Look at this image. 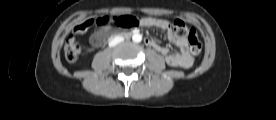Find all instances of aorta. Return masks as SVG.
<instances>
[{
    "instance_id": "1",
    "label": "aorta",
    "mask_w": 276,
    "mask_h": 120,
    "mask_svg": "<svg viewBox=\"0 0 276 120\" xmlns=\"http://www.w3.org/2000/svg\"><path fill=\"white\" fill-rule=\"evenodd\" d=\"M132 40H133V42H135V43H139V42L142 41V35L139 34V33H135V34H133V36H132Z\"/></svg>"
}]
</instances>
